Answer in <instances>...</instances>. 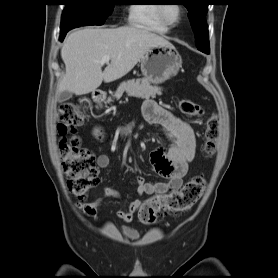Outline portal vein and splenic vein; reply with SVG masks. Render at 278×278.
<instances>
[{
	"instance_id": "obj_1",
	"label": "portal vein and splenic vein",
	"mask_w": 278,
	"mask_h": 278,
	"mask_svg": "<svg viewBox=\"0 0 278 278\" xmlns=\"http://www.w3.org/2000/svg\"><path fill=\"white\" fill-rule=\"evenodd\" d=\"M109 61H110V56L106 55V56L102 57L100 62L102 64H104V63H109Z\"/></svg>"
}]
</instances>
